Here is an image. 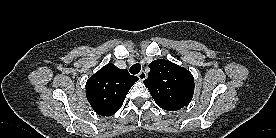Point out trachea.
Returning <instances> with one entry per match:
<instances>
[{
    "label": "trachea",
    "mask_w": 276,
    "mask_h": 138,
    "mask_svg": "<svg viewBox=\"0 0 276 138\" xmlns=\"http://www.w3.org/2000/svg\"><path fill=\"white\" fill-rule=\"evenodd\" d=\"M141 70V65L139 63H136L130 67V73L135 75L138 74Z\"/></svg>",
    "instance_id": "obj_1"
}]
</instances>
